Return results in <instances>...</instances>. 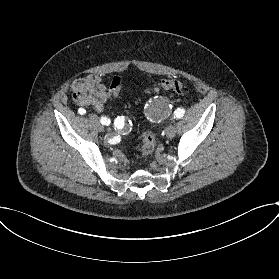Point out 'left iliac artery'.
Instances as JSON below:
<instances>
[{"label": "left iliac artery", "mask_w": 279, "mask_h": 279, "mask_svg": "<svg viewBox=\"0 0 279 279\" xmlns=\"http://www.w3.org/2000/svg\"><path fill=\"white\" fill-rule=\"evenodd\" d=\"M184 114V110L178 108L175 112H174V118H181Z\"/></svg>", "instance_id": "obj_1"}]
</instances>
